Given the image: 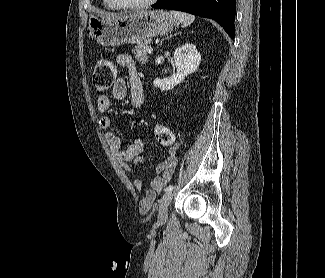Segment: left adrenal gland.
Wrapping results in <instances>:
<instances>
[{
	"mask_svg": "<svg viewBox=\"0 0 325 278\" xmlns=\"http://www.w3.org/2000/svg\"><path fill=\"white\" fill-rule=\"evenodd\" d=\"M177 34H179V33H175V34H174V36H176ZM171 37H173V35H170V37H169V38H171ZM169 38H168V39H169Z\"/></svg>",
	"mask_w": 325,
	"mask_h": 278,
	"instance_id": "1",
	"label": "left adrenal gland"
}]
</instances>
